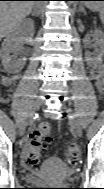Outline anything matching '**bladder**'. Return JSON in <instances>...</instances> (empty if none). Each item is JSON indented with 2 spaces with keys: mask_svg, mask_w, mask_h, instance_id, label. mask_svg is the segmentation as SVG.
Masks as SVG:
<instances>
[{
  "mask_svg": "<svg viewBox=\"0 0 104 189\" xmlns=\"http://www.w3.org/2000/svg\"><path fill=\"white\" fill-rule=\"evenodd\" d=\"M69 166L58 157L47 158L40 168L26 177L29 184H42L57 179H63L69 175Z\"/></svg>",
  "mask_w": 104,
  "mask_h": 189,
  "instance_id": "obj_1",
  "label": "bladder"
}]
</instances>
